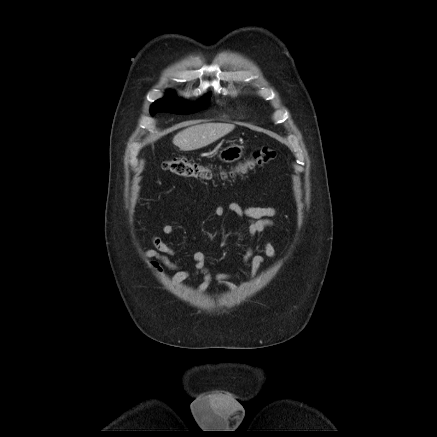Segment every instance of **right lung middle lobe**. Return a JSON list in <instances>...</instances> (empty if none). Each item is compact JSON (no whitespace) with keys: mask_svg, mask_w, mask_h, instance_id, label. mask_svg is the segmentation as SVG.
Listing matches in <instances>:
<instances>
[{"mask_svg":"<svg viewBox=\"0 0 437 437\" xmlns=\"http://www.w3.org/2000/svg\"><path fill=\"white\" fill-rule=\"evenodd\" d=\"M211 95H207L204 99L197 105L192 108L185 105L175 96H168L164 99L157 100L151 106V114L154 116L158 112H170L174 114H189L191 112H195L198 110H203L207 107L208 102L210 100Z\"/></svg>","mask_w":437,"mask_h":437,"instance_id":"dd1d6c3e","label":"right lung middle lobe"}]
</instances>
